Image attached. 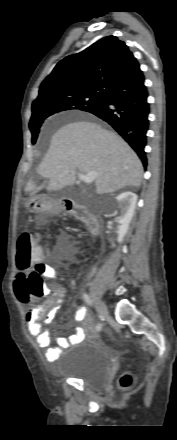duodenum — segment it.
I'll return each instance as SVG.
<instances>
[{"label": "duodenum", "instance_id": "410a0bca", "mask_svg": "<svg viewBox=\"0 0 177 440\" xmlns=\"http://www.w3.org/2000/svg\"><path fill=\"white\" fill-rule=\"evenodd\" d=\"M62 209L83 221L92 235L97 234L98 221L86 206L73 200H64Z\"/></svg>", "mask_w": 177, "mask_h": 440}]
</instances>
